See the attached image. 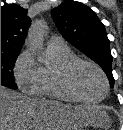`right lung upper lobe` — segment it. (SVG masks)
<instances>
[{"instance_id":"cb5924a9","label":"right lung upper lobe","mask_w":123,"mask_h":130,"mask_svg":"<svg viewBox=\"0 0 123 130\" xmlns=\"http://www.w3.org/2000/svg\"><path fill=\"white\" fill-rule=\"evenodd\" d=\"M31 23L27 10L16 4L1 7V52H20Z\"/></svg>"}]
</instances>
